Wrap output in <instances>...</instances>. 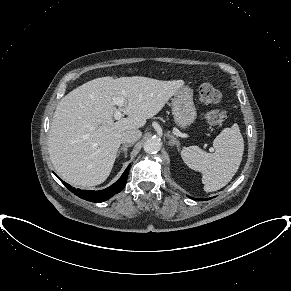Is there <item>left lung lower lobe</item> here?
<instances>
[{
  "mask_svg": "<svg viewBox=\"0 0 291 291\" xmlns=\"http://www.w3.org/2000/svg\"><path fill=\"white\" fill-rule=\"evenodd\" d=\"M191 198V197H190ZM193 200H196V198H192ZM211 199V198H210ZM205 200H208V199H205Z\"/></svg>",
  "mask_w": 291,
  "mask_h": 291,
  "instance_id": "1",
  "label": "left lung lower lobe"
}]
</instances>
